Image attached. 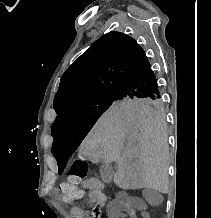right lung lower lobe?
Returning a JSON list of instances; mask_svg holds the SVG:
<instances>
[{
	"label": "right lung lower lobe",
	"mask_w": 211,
	"mask_h": 218,
	"mask_svg": "<svg viewBox=\"0 0 211 218\" xmlns=\"http://www.w3.org/2000/svg\"><path fill=\"white\" fill-rule=\"evenodd\" d=\"M116 95L121 97H161L157 79L148 60L122 83Z\"/></svg>",
	"instance_id": "1"
}]
</instances>
